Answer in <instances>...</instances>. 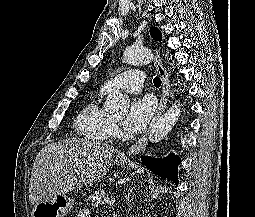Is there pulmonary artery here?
<instances>
[{
	"instance_id": "e3ab8cb5",
	"label": "pulmonary artery",
	"mask_w": 255,
	"mask_h": 217,
	"mask_svg": "<svg viewBox=\"0 0 255 217\" xmlns=\"http://www.w3.org/2000/svg\"><path fill=\"white\" fill-rule=\"evenodd\" d=\"M145 74L138 69H130L123 71L114 78L106 81L103 88L106 91L125 90L130 93L139 92L144 83Z\"/></svg>"
}]
</instances>
